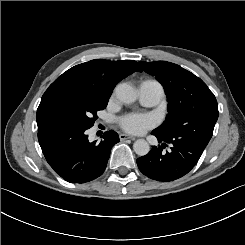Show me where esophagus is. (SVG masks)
<instances>
[{
    "label": "esophagus",
    "mask_w": 245,
    "mask_h": 245,
    "mask_svg": "<svg viewBox=\"0 0 245 245\" xmlns=\"http://www.w3.org/2000/svg\"><path fill=\"white\" fill-rule=\"evenodd\" d=\"M119 139L120 140H127V139H134V137L129 135V134H119Z\"/></svg>",
    "instance_id": "34e87169"
}]
</instances>
